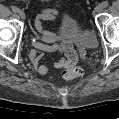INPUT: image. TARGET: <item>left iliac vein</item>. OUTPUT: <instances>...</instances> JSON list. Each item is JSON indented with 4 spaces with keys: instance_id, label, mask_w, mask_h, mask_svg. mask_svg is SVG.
I'll return each mask as SVG.
<instances>
[{
    "instance_id": "1",
    "label": "left iliac vein",
    "mask_w": 119,
    "mask_h": 119,
    "mask_svg": "<svg viewBox=\"0 0 119 119\" xmlns=\"http://www.w3.org/2000/svg\"><path fill=\"white\" fill-rule=\"evenodd\" d=\"M95 11H96L97 13L102 12V11H103V6H102V5H97V6L95 7Z\"/></svg>"
}]
</instances>
